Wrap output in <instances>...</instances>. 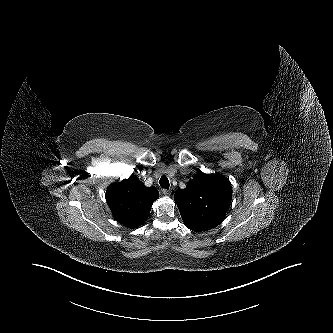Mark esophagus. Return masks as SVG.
<instances>
[{"mask_svg": "<svg viewBox=\"0 0 333 333\" xmlns=\"http://www.w3.org/2000/svg\"><path fill=\"white\" fill-rule=\"evenodd\" d=\"M163 194L166 195V196H170L172 191L170 189H163L162 190Z\"/></svg>", "mask_w": 333, "mask_h": 333, "instance_id": "esophagus-1", "label": "esophagus"}]
</instances>
